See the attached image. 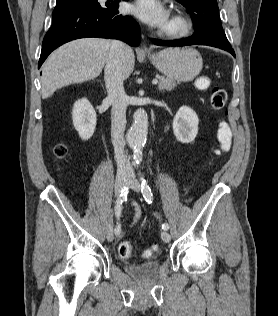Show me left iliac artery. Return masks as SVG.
<instances>
[{
    "label": "left iliac artery",
    "mask_w": 278,
    "mask_h": 316,
    "mask_svg": "<svg viewBox=\"0 0 278 316\" xmlns=\"http://www.w3.org/2000/svg\"><path fill=\"white\" fill-rule=\"evenodd\" d=\"M141 192L143 194V197H144L145 201L148 204H151L153 202V194H152L150 186L148 185V183L146 182L145 179H143L142 182H141ZM162 229L163 230H168L169 229L168 223H163L162 224Z\"/></svg>",
    "instance_id": "obj_1"
}]
</instances>
